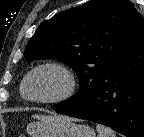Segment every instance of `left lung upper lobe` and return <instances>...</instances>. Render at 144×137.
<instances>
[{"instance_id":"1","label":"left lung upper lobe","mask_w":144,"mask_h":137,"mask_svg":"<svg viewBox=\"0 0 144 137\" xmlns=\"http://www.w3.org/2000/svg\"><path fill=\"white\" fill-rule=\"evenodd\" d=\"M144 29V18L128 0H91L43 22L25 59L56 58L78 75L80 88L65 103L85 96L107 69L125 55Z\"/></svg>"}]
</instances>
